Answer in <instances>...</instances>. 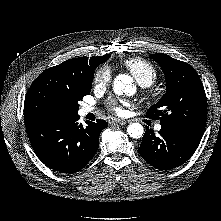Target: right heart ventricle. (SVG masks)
<instances>
[{"label":"right heart ventricle","mask_w":221,"mask_h":221,"mask_svg":"<svg viewBox=\"0 0 221 221\" xmlns=\"http://www.w3.org/2000/svg\"><path fill=\"white\" fill-rule=\"evenodd\" d=\"M122 65L143 87H149L157 80L158 73L156 68L145 59L128 58L122 62Z\"/></svg>","instance_id":"e07e8e85"}]
</instances>
